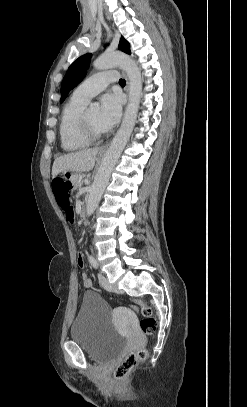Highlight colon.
I'll return each instance as SVG.
<instances>
[{"instance_id":"obj_1","label":"colon","mask_w":247,"mask_h":407,"mask_svg":"<svg viewBox=\"0 0 247 407\" xmlns=\"http://www.w3.org/2000/svg\"><path fill=\"white\" fill-rule=\"evenodd\" d=\"M52 191L56 198L59 208L63 212H67L71 209L70 195L72 191V185L62 178H55L52 182ZM131 306L133 309L140 310L142 319L139 322V327L142 333L146 335H153L157 328V323L152 315L150 306L141 300H131ZM148 352L146 349H140L138 351L129 353L123 361L115 368L113 376L116 380H122L127 377L138 364L146 359Z\"/></svg>"}]
</instances>
